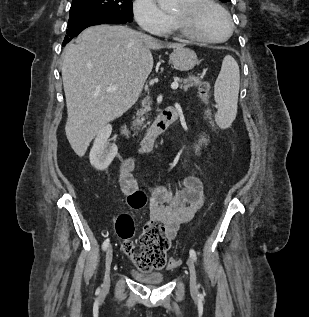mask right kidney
<instances>
[{"label": "right kidney", "instance_id": "1", "mask_svg": "<svg viewBox=\"0 0 309 317\" xmlns=\"http://www.w3.org/2000/svg\"><path fill=\"white\" fill-rule=\"evenodd\" d=\"M112 132L110 124L105 125L97 134L90 151V163L98 171H104L118 153L115 144H109L108 138Z\"/></svg>", "mask_w": 309, "mask_h": 317}]
</instances>
